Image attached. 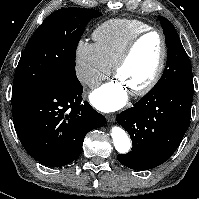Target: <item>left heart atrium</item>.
I'll use <instances>...</instances> for the list:
<instances>
[{"label":"left heart atrium","instance_id":"left-heart-atrium-1","mask_svg":"<svg viewBox=\"0 0 199 199\" xmlns=\"http://www.w3.org/2000/svg\"><path fill=\"white\" fill-rule=\"evenodd\" d=\"M91 103L100 111L113 112L128 100V90L121 80L110 81L90 94Z\"/></svg>","mask_w":199,"mask_h":199}]
</instances>
